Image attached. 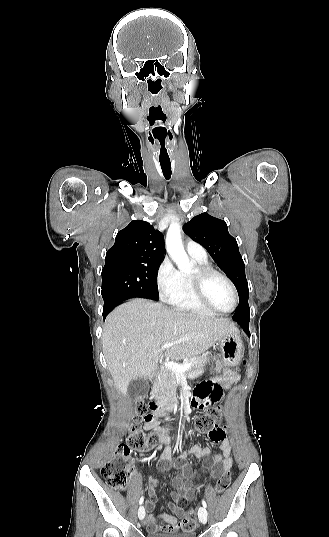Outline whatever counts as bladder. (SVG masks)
<instances>
[{
  "label": "bladder",
  "instance_id": "bladder-1",
  "mask_svg": "<svg viewBox=\"0 0 329 537\" xmlns=\"http://www.w3.org/2000/svg\"><path fill=\"white\" fill-rule=\"evenodd\" d=\"M146 537H196V535L194 532H183V533L153 532V533H148Z\"/></svg>",
  "mask_w": 329,
  "mask_h": 537
}]
</instances>
